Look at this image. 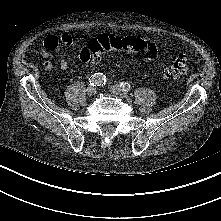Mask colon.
<instances>
[{"instance_id": "1", "label": "colon", "mask_w": 221, "mask_h": 221, "mask_svg": "<svg viewBox=\"0 0 221 221\" xmlns=\"http://www.w3.org/2000/svg\"><path fill=\"white\" fill-rule=\"evenodd\" d=\"M147 43L141 37H114L101 35L88 42L81 51L80 58L83 62L98 61L103 54L111 50L127 51L132 53L145 52ZM188 60L184 55L174 57L172 63L164 70L168 78H178L188 71Z\"/></svg>"}]
</instances>
